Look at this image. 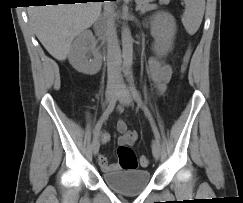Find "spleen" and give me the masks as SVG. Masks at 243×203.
I'll use <instances>...</instances> for the list:
<instances>
[{
	"label": "spleen",
	"mask_w": 243,
	"mask_h": 203,
	"mask_svg": "<svg viewBox=\"0 0 243 203\" xmlns=\"http://www.w3.org/2000/svg\"><path fill=\"white\" fill-rule=\"evenodd\" d=\"M185 12L182 16V23L188 34L193 35L199 29L204 11L205 0H184Z\"/></svg>",
	"instance_id": "spleen-1"
}]
</instances>
